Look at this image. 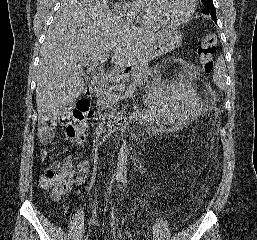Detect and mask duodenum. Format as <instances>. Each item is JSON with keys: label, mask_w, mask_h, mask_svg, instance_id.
Segmentation results:
<instances>
[{"label": "duodenum", "mask_w": 257, "mask_h": 240, "mask_svg": "<svg viewBox=\"0 0 257 240\" xmlns=\"http://www.w3.org/2000/svg\"><path fill=\"white\" fill-rule=\"evenodd\" d=\"M97 87L95 84H90L85 89V94L88 97H92L96 93ZM121 116H118L111 124L109 135L113 134L120 126Z\"/></svg>", "instance_id": "duodenum-1"}]
</instances>
